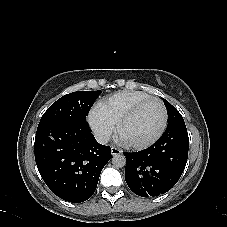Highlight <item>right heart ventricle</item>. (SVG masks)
Listing matches in <instances>:
<instances>
[{
  "label": "right heart ventricle",
  "instance_id": "obj_1",
  "mask_svg": "<svg viewBox=\"0 0 227 227\" xmlns=\"http://www.w3.org/2000/svg\"><path fill=\"white\" fill-rule=\"evenodd\" d=\"M148 97L150 95L140 91H120L100 101L97 108L102 115L117 124L133 106Z\"/></svg>",
  "mask_w": 227,
  "mask_h": 227
}]
</instances>
